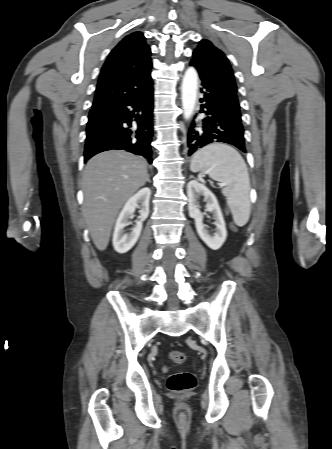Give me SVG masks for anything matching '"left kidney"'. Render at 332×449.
Segmentation results:
<instances>
[{"mask_svg":"<svg viewBox=\"0 0 332 449\" xmlns=\"http://www.w3.org/2000/svg\"><path fill=\"white\" fill-rule=\"evenodd\" d=\"M189 216L194 219L198 235L212 250H218L226 240L227 231L224 218L215 195L197 180H191L187 185ZM204 196L207 211L213 214L216 226L215 233L211 235L203 224V214L198 208V199Z\"/></svg>","mask_w":332,"mask_h":449,"instance_id":"5707ae66","label":"left kidney"}]
</instances>
